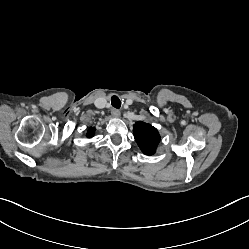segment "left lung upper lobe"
Instances as JSON below:
<instances>
[{
    "label": "left lung upper lobe",
    "mask_w": 249,
    "mask_h": 249,
    "mask_svg": "<svg viewBox=\"0 0 249 249\" xmlns=\"http://www.w3.org/2000/svg\"><path fill=\"white\" fill-rule=\"evenodd\" d=\"M133 132L141 151L146 155H153L160 142L158 130L150 124L139 121L134 124Z\"/></svg>",
    "instance_id": "1"
}]
</instances>
